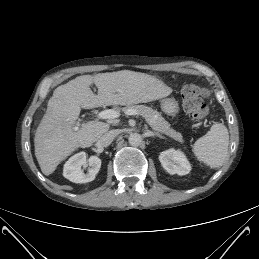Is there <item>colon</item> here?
Masks as SVG:
<instances>
[{
  "mask_svg": "<svg viewBox=\"0 0 259 259\" xmlns=\"http://www.w3.org/2000/svg\"><path fill=\"white\" fill-rule=\"evenodd\" d=\"M205 97L206 91L200 86L189 84L182 89L183 108L196 122L203 121L209 113Z\"/></svg>",
  "mask_w": 259,
  "mask_h": 259,
  "instance_id": "1",
  "label": "colon"
}]
</instances>
